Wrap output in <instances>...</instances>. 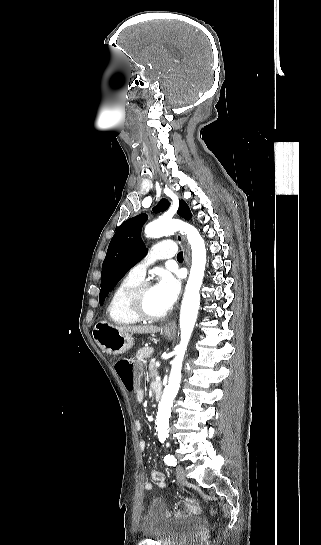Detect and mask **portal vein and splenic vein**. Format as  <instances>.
<instances>
[{
  "mask_svg": "<svg viewBox=\"0 0 321 545\" xmlns=\"http://www.w3.org/2000/svg\"><path fill=\"white\" fill-rule=\"evenodd\" d=\"M155 366H157V368H160L159 361H156Z\"/></svg>",
  "mask_w": 321,
  "mask_h": 545,
  "instance_id": "obj_1",
  "label": "portal vein and splenic vein"
}]
</instances>
